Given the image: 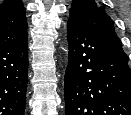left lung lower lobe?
Wrapping results in <instances>:
<instances>
[{
  "label": "left lung lower lobe",
  "instance_id": "obj_1",
  "mask_svg": "<svg viewBox=\"0 0 131 115\" xmlns=\"http://www.w3.org/2000/svg\"><path fill=\"white\" fill-rule=\"evenodd\" d=\"M66 115H131V69L98 36L68 20Z\"/></svg>",
  "mask_w": 131,
  "mask_h": 115
}]
</instances>
